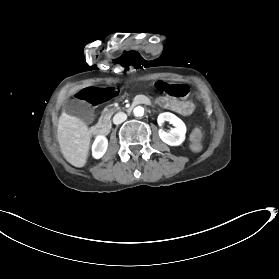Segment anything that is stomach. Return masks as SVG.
<instances>
[{
	"label": "stomach",
	"mask_w": 279,
	"mask_h": 279,
	"mask_svg": "<svg viewBox=\"0 0 279 279\" xmlns=\"http://www.w3.org/2000/svg\"><path fill=\"white\" fill-rule=\"evenodd\" d=\"M158 103H161L162 107L165 109H172L175 112H182L186 116H192L197 111V106L192 101H178L173 98L167 97L163 100H158Z\"/></svg>",
	"instance_id": "1"
}]
</instances>
